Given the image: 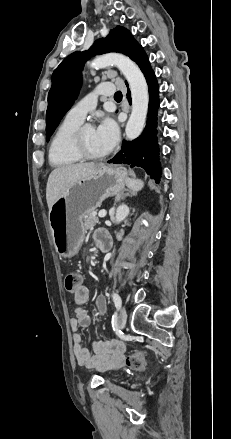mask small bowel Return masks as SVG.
Masks as SVG:
<instances>
[{"mask_svg": "<svg viewBox=\"0 0 231 439\" xmlns=\"http://www.w3.org/2000/svg\"><path fill=\"white\" fill-rule=\"evenodd\" d=\"M105 238L110 239L108 233L104 230H98L94 234V240L97 244ZM73 296L75 316L70 319V328L73 333V350L78 364L86 368L97 370H106L121 366L125 351V345L121 341H94L92 344L93 353L83 346L79 330L81 328H88L91 321L87 311L83 308L91 297L90 283H79L76 287V293ZM94 310L99 316L106 313L107 302L104 296L100 295L95 299Z\"/></svg>", "mask_w": 231, "mask_h": 439, "instance_id": "c3829d8e", "label": "small bowel"}]
</instances>
